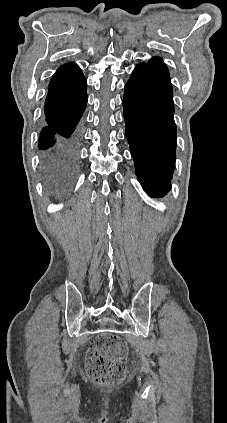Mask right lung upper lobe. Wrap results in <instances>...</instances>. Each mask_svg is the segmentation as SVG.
<instances>
[{
  "instance_id": "obj_1",
  "label": "right lung upper lobe",
  "mask_w": 227,
  "mask_h": 423,
  "mask_svg": "<svg viewBox=\"0 0 227 423\" xmlns=\"http://www.w3.org/2000/svg\"><path fill=\"white\" fill-rule=\"evenodd\" d=\"M86 79L81 69L74 63L61 66L50 82L49 93L68 96L86 90Z\"/></svg>"
}]
</instances>
